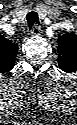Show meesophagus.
I'll list each match as a JSON object with an SVG mask.
<instances>
[{"instance_id": "esophagus-1", "label": "esophagus", "mask_w": 77, "mask_h": 125, "mask_svg": "<svg viewBox=\"0 0 77 125\" xmlns=\"http://www.w3.org/2000/svg\"><path fill=\"white\" fill-rule=\"evenodd\" d=\"M30 33L32 35H39L41 33V28L36 24L33 26V28L31 29Z\"/></svg>"}]
</instances>
